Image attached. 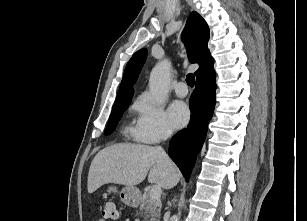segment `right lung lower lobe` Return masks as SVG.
Returning a JSON list of instances; mask_svg holds the SVG:
<instances>
[{
	"instance_id": "obj_1",
	"label": "right lung lower lobe",
	"mask_w": 307,
	"mask_h": 221,
	"mask_svg": "<svg viewBox=\"0 0 307 221\" xmlns=\"http://www.w3.org/2000/svg\"><path fill=\"white\" fill-rule=\"evenodd\" d=\"M215 79L196 81L189 105L191 120L186 129L175 134L169 143V155L188 180L194 161L206 138L207 125L215 106Z\"/></svg>"
}]
</instances>
